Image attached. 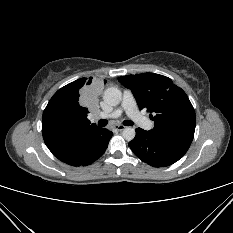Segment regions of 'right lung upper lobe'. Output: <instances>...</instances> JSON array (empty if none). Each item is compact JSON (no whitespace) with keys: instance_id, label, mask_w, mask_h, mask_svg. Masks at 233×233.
I'll use <instances>...</instances> for the list:
<instances>
[{"instance_id":"1","label":"right lung upper lobe","mask_w":233,"mask_h":233,"mask_svg":"<svg viewBox=\"0 0 233 233\" xmlns=\"http://www.w3.org/2000/svg\"><path fill=\"white\" fill-rule=\"evenodd\" d=\"M82 87L88 93L93 92L95 85L92 78H81L62 87L44 110L43 138L46 145L52 146L58 153L79 152L104 131L87 119L89 111L80 98Z\"/></svg>"}]
</instances>
